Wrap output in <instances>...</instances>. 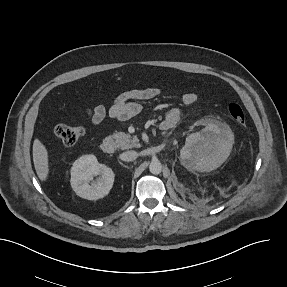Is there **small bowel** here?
I'll return each instance as SVG.
<instances>
[{"mask_svg":"<svg viewBox=\"0 0 287 287\" xmlns=\"http://www.w3.org/2000/svg\"><path fill=\"white\" fill-rule=\"evenodd\" d=\"M161 90L155 86L144 88L130 89L119 96L112 102L109 109L103 105H97L87 111V115L94 125H100L103 120L109 116L117 120H128L141 111V102L158 97ZM197 100L194 92H186L182 95V102L186 106L193 105ZM180 110L178 108L169 109L160 124V129L169 130L173 128L180 120Z\"/></svg>","mask_w":287,"mask_h":287,"instance_id":"obj_1","label":"small bowel"}]
</instances>
